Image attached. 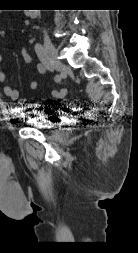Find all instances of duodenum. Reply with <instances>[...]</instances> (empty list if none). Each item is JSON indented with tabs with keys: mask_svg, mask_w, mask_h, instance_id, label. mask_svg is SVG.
<instances>
[{
	"mask_svg": "<svg viewBox=\"0 0 138 253\" xmlns=\"http://www.w3.org/2000/svg\"><path fill=\"white\" fill-rule=\"evenodd\" d=\"M36 14H37V11L34 10V9H31V10L29 11V15H30L31 18L36 17Z\"/></svg>",
	"mask_w": 138,
	"mask_h": 253,
	"instance_id": "duodenum-1",
	"label": "duodenum"
}]
</instances>
